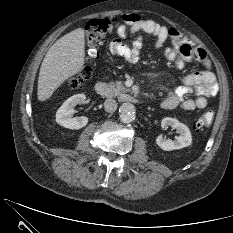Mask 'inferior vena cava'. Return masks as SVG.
Wrapping results in <instances>:
<instances>
[{"label":"inferior vena cava","mask_w":233,"mask_h":233,"mask_svg":"<svg viewBox=\"0 0 233 233\" xmlns=\"http://www.w3.org/2000/svg\"><path fill=\"white\" fill-rule=\"evenodd\" d=\"M117 102L114 99H107L104 102L106 112L113 113L117 109Z\"/></svg>","instance_id":"1"}]
</instances>
